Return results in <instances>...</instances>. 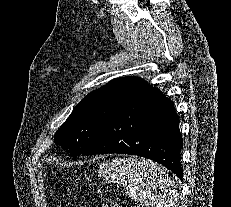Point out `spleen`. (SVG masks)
I'll use <instances>...</instances> for the list:
<instances>
[{"instance_id": "spleen-1", "label": "spleen", "mask_w": 231, "mask_h": 207, "mask_svg": "<svg viewBox=\"0 0 231 207\" xmlns=\"http://www.w3.org/2000/svg\"><path fill=\"white\" fill-rule=\"evenodd\" d=\"M106 182L122 184L136 202L151 207H172L179 202L177 185L168 172L156 163L139 158H115L100 165Z\"/></svg>"}]
</instances>
